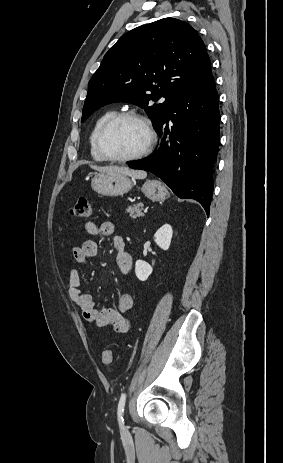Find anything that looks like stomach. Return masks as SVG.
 Segmentation results:
<instances>
[{"instance_id": "0dacf381", "label": "stomach", "mask_w": 283, "mask_h": 463, "mask_svg": "<svg viewBox=\"0 0 283 463\" xmlns=\"http://www.w3.org/2000/svg\"><path fill=\"white\" fill-rule=\"evenodd\" d=\"M135 180L128 176L116 173H98L92 178V188L104 196H121L128 193L134 186ZM141 191L149 199L164 200L168 195L166 187L158 180H147Z\"/></svg>"}]
</instances>
